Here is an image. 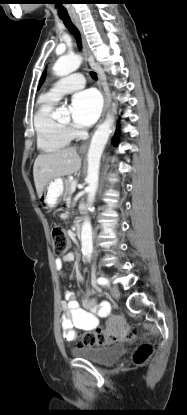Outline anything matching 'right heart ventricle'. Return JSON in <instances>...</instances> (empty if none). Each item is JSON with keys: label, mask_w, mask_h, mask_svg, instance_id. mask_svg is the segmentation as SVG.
I'll list each match as a JSON object with an SVG mask.
<instances>
[{"label": "right heart ventricle", "mask_w": 187, "mask_h": 415, "mask_svg": "<svg viewBox=\"0 0 187 415\" xmlns=\"http://www.w3.org/2000/svg\"><path fill=\"white\" fill-rule=\"evenodd\" d=\"M47 95L41 97L34 115L37 145L44 152H55L65 148L71 141V133L52 117L55 104Z\"/></svg>", "instance_id": "right-heart-ventricle-1"}]
</instances>
